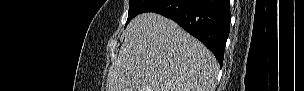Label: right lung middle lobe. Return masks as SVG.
<instances>
[{"mask_svg":"<svg viewBox=\"0 0 304 91\" xmlns=\"http://www.w3.org/2000/svg\"><path fill=\"white\" fill-rule=\"evenodd\" d=\"M150 2V0H130L126 25Z\"/></svg>","mask_w":304,"mask_h":91,"instance_id":"right-lung-middle-lobe-1","label":"right lung middle lobe"}]
</instances>
